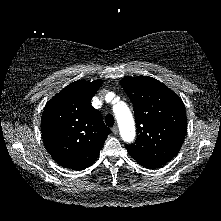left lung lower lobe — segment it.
I'll return each mask as SVG.
<instances>
[{"label":"left lung lower lobe","mask_w":221,"mask_h":221,"mask_svg":"<svg viewBox=\"0 0 221 221\" xmlns=\"http://www.w3.org/2000/svg\"><path fill=\"white\" fill-rule=\"evenodd\" d=\"M144 167H146V168H156V166H144Z\"/></svg>","instance_id":"obj_1"}]
</instances>
